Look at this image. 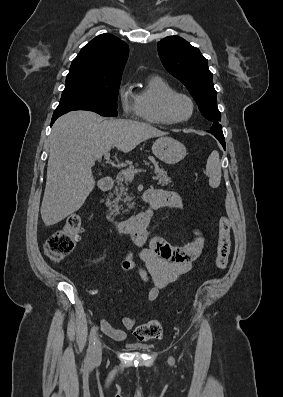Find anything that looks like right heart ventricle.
I'll return each mask as SVG.
<instances>
[{
  "mask_svg": "<svg viewBox=\"0 0 283 397\" xmlns=\"http://www.w3.org/2000/svg\"><path fill=\"white\" fill-rule=\"evenodd\" d=\"M172 92L175 89L164 78L157 75L148 77L136 93L139 118L150 124H166L160 108L165 96Z\"/></svg>",
  "mask_w": 283,
  "mask_h": 397,
  "instance_id": "1",
  "label": "right heart ventricle"
}]
</instances>
